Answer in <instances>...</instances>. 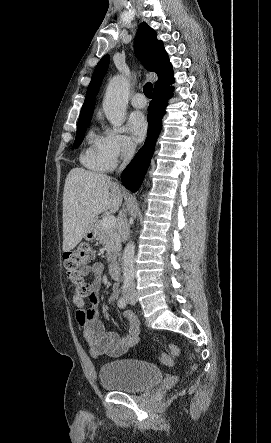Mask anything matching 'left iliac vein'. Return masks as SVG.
I'll list each match as a JSON object with an SVG mask.
<instances>
[{
	"label": "left iliac vein",
	"instance_id": "left-iliac-vein-1",
	"mask_svg": "<svg viewBox=\"0 0 271 443\" xmlns=\"http://www.w3.org/2000/svg\"><path fill=\"white\" fill-rule=\"evenodd\" d=\"M128 302H129L130 304H132V305L136 304V302H137L136 296H135L134 294L131 295V296L128 298Z\"/></svg>",
	"mask_w": 271,
	"mask_h": 443
}]
</instances>
